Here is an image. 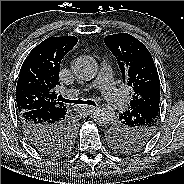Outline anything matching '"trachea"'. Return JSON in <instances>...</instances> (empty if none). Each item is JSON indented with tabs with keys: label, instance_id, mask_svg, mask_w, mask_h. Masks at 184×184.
<instances>
[{
	"label": "trachea",
	"instance_id": "1",
	"mask_svg": "<svg viewBox=\"0 0 184 184\" xmlns=\"http://www.w3.org/2000/svg\"><path fill=\"white\" fill-rule=\"evenodd\" d=\"M58 100L66 103V104H79V105L87 104V105L95 106V102L92 100H86V101H83L81 99L70 100V99L63 98L61 95L58 96Z\"/></svg>",
	"mask_w": 184,
	"mask_h": 184
}]
</instances>
